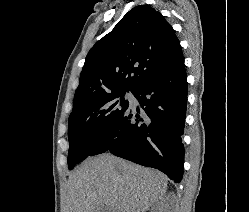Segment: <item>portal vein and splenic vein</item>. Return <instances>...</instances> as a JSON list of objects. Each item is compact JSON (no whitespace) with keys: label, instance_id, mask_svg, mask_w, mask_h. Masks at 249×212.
Here are the masks:
<instances>
[{"label":"portal vein and splenic vein","instance_id":"1","mask_svg":"<svg viewBox=\"0 0 249 212\" xmlns=\"http://www.w3.org/2000/svg\"><path fill=\"white\" fill-rule=\"evenodd\" d=\"M107 212H112V208H110V206H108V208H106Z\"/></svg>","mask_w":249,"mask_h":212}]
</instances>
